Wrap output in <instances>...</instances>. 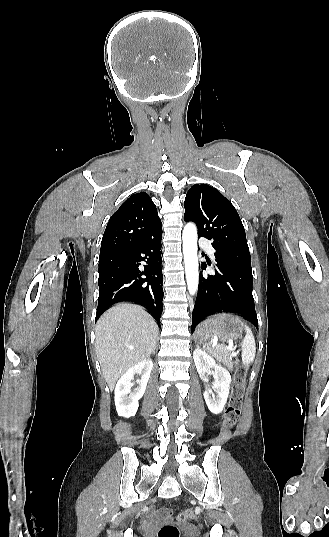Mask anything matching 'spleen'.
Masks as SVG:
<instances>
[{
    "instance_id": "3e777b00",
    "label": "spleen",
    "mask_w": 329,
    "mask_h": 537,
    "mask_svg": "<svg viewBox=\"0 0 329 537\" xmlns=\"http://www.w3.org/2000/svg\"><path fill=\"white\" fill-rule=\"evenodd\" d=\"M246 336L244 340L241 343V351H242V361L244 364L248 365L249 363H252L255 358L256 354V345H255V339L254 336L249 329V327H245Z\"/></svg>"
}]
</instances>
